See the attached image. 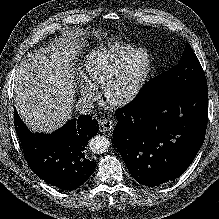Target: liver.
<instances>
[{
    "label": "liver",
    "instance_id": "1",
    "mask_svg": "<svg viewBox=\"0 0 219 219\" xmlns=\"http://www.w3.org/2000/svg\"><path fill=\"white\" fill-rule=\"evenodd\" d=\"M76 36L59 38L50 47L28 53L15 76L14 100L19 116L35 132H52L71 118L74 102L72 60Z\"/></svg>",
    "mask_w": 219,
    "mask_h": 219
}]
</instances>
